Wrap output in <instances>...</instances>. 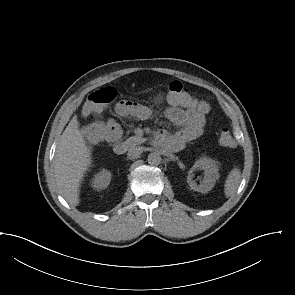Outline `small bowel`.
<instances>
[{
	"label": "small bowel",
	"mask_w": 295,
	"mask_h": 295,
	"mask_svg": "<svg viewBox=\"0 0 295 295\" xmlns=\"http://www.w3.org/2000/svg\"><path fill=\"white\" fill-rule=\"evenodd\" d=\"M115 111L121 117L138 119H146L151 114L149 108L127 100L119 101L115 106ZM165 115L171 122L181 127L173 134L165 130H161L157 134L159 141L171 150H180L186 143L197 139L204 132L206 118L203 112L194 106L182 105L175 99L169 98V107L165 110ZM96 123H101L105 127L106 140L113 142L120 138L121 130L115 120L109 119Z\"/></svg>",
	"instance_id": "small-bowel-1"
}]
</instances>
